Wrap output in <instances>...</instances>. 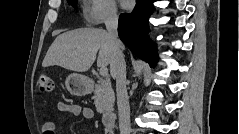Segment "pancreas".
Returning <instances> with one entry per match:
<instances>
[{"instance_id":"obj_1","label":"pancreas","mask_w":239,"mask_h":134,"mask_svg":"<svg viewBox=\"0 0 239 134\" xmlns=\"http://www.w3.org/2000/svg\"><path fill=\"white\" fill-rule=\"evenodd\" d=\"M95 106L98 113H104L115 101L114 92L109 82H99L94 90Z\"/></svg>"}]
</instances>
